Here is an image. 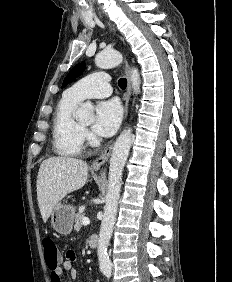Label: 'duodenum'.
I'll return each mask as SVG.
<instances>
[{"mask_svg":"<svg viewBox=\"0 0 232 282\" xmlns=\"http://www.w3.org/2000/svg\"><path fill=\"white\" fill-rule=\"evenodd\" d=\"M89 246L90 248H97L99 246V238L98 236L96 235H92L90 238H89Z\"/></svg>","mask_w":232,"mask_h":282,"instance_id":"1","label":"duodenum"}]
</instances>
